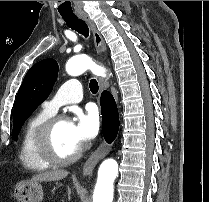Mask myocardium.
Listing matches in <instances>:
<instances>
[{
  "mask_svg": "<svg viewBox=\"0 0 209 202\" xmlns=\"http://www.w3.org/2000/svg\"><path fill=\"white\" fill-rule=\"evenodd\" d=\"M64 121H67V117L64 115L51 116L41 125L36 135L35 150L37 154L50 165L65 166L72 164L77 161L82 154L81 147L68 157H62L54 151L52 136L56 127Z\"/></svg>",
  "mask_w": 209,
  "mask_h": 202,
  "instance_id": "1",
  "label": "myocardium"
}]
</instances>
